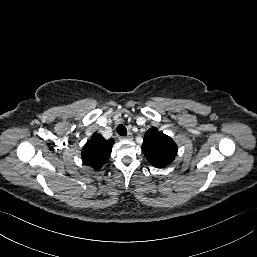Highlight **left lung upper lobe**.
<instances>
[{
	"label": "left lung upper lobe",
	"instance_id": "obj_1",
	"mask_svg": "<svg viewBox=\"0 0 257 257\" xmlns=\"http://www.w3.org/2000/svg\"><path fill=\"white\" fill-rule=\"evenodd\" d=\"M142 151L151 165L162 168L175 159L177 145L169 136L159 132L157 128H150L145 133Z\"/></svg>",
	"mask_w": 257,
	"mask_h": 257
}]
</instances>
